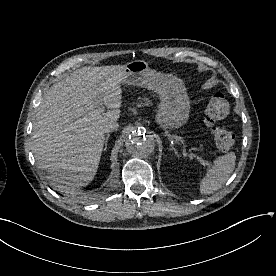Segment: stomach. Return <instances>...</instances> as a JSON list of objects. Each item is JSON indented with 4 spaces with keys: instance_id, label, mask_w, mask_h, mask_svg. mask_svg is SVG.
Masks as SVG:
<instances>
[{
    "instance_id": "stomach-1",
    "label": "stomach",
    "mask_w": 276,
    "mask_h": 276,
    "mask_svg": "<svg viewBox=\"0 0 276 276\" xmlns=\"http://www.w3.org/2000/svg\"><path fill=\"white\" fill-rule=\"evenodd\" d=\"M122 83L147 88L159 95L156 120L162 128H179L187 122L189 97L182 80L173 74L157 72L145 61L134 60L125 65Z\"/></svg>"
}]
</instances>
